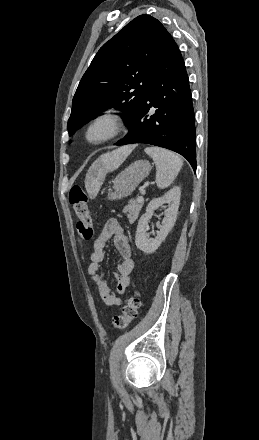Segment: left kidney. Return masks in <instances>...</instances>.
<instances>
[{
    "mask_svg": "<svg viewBox=\"0 0 259 440\" xmlns=\"http://www.w3.org/2000/svg\"><path fill=\"white\" fill-rule=\"evenodd\" d=\"M181 189L177 186L170 189L162 197L152 199L139 221L135 236V244L137 248L146 254L155 252L161 243L165 240L168 233L173 228L180 204ZM167 203L168 208L165 210V217L159 226V231L155 238H150L147 234L148 222L152 218L154 211L160 206Z\"/></svg>",
    "mask_w": 259,
    "mask_h": 440,
    "instance_id": "left-kidney-1",
    "label": "left kidney"
}]
</instances>
